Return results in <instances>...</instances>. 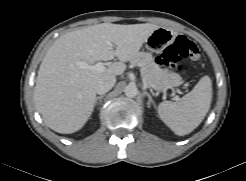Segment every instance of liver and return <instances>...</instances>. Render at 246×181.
Masks as SVG:
<instances>
[{
	"label": "liver",
	"instance_id": "1",
	"mask_svg": "<svg viewBox=\"0 0 246 181\" xmlns=\"http://www.w3.org/2000/svg\"><path fill=\"white\" fill-rule=\"evenodd\" d=\"M160 26L150 23H102L68 32L49 48L40 65L34 101L44 123L62 134L80 130L90 118L96 83L106 76L122 75L143 43ZM113 45L116 49H113ZM117 57L103 72L80 68Z\"/></svg>",
	"mask_w": 246,
	"mask_h": 181
}]
</instances>
